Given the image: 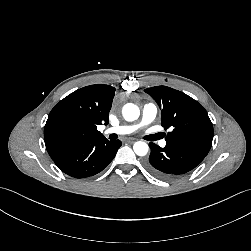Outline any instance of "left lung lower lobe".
<instances>
[{
  "instance_id": "left-lung-lower-lobe-1",
  "label": "left lung lower lobe",
  "mask_w": 251,
  "mask_h": 251,
  "mask_svg": "<svg viewBox=\"0 0 251 251\" xmlns=\"http://www.w3.org/2000/svg\"><path fill=\"white\" fill-rule=\"evenodd\" d=\"M151 154L146 162L147 170L162 180H174L194 169L205 155L194 150L166 144L164 148L149 144Z\"/></svg>"
}]
</instances>
